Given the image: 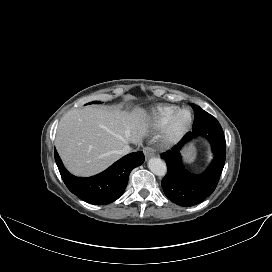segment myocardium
<instances>
[{
  "mask_svg": "<svg viewBox=\"0 0 272 272\" xmlns=\"http://www.w3.org/2000/svg\"><path fill=\"white\" fill-rule=\"evenodd\" d=\"M186 114L185 119L179 122V117ZM192 124V113L188 108L177 109L168 119L163 127L162 142L170 145L179 141L189 130Z\"/></svg>",
  "mask_w": 272,
  "mask_h": 272,
  "instance_id": "1",
  "label": "myocardium"
}]
</instances>
